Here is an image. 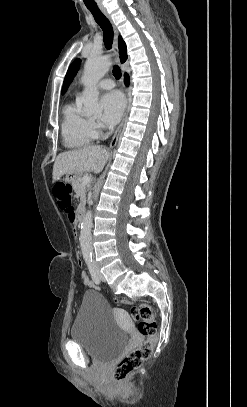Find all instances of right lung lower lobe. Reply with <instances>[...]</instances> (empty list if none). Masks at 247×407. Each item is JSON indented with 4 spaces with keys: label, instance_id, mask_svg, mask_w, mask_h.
<instances>
[{
    "label": "right lung lower lobe",
    "instance_id": "98d812e1",
    "mask_svg": "<svg viewBox=\"0 0 247 407\" xmlns=\"http://www.w3.org/2000/svg\"><path fill=\"white\" fill-rule=\"evenodd\" d=\"M124 82L126 83V85L129 84V76L127 74H125L124 76Z\"/></svg>",
    "mask_w": 247,
    "mask_h": 407
}]
</instances>
